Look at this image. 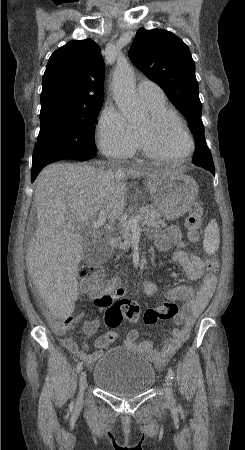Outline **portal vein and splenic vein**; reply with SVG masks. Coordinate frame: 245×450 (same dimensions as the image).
Listing matches in <instances>:
<instances>
[{
    "label": "portal vein and splenic vein",
    "instance_id": "portal-vein-and-splenic-vein-1",
    "mask_svg": "<svg viewBox=\"0 0 245 450\" xmlns=\"http://www.w3.org/2000/svg\"><path fill=\"white\" fill-rule=\"evenodd\" d=\"M105 218H106L105 212H104V211H101V212L99 213V218H98V220L95 221V222L93 223V228H99V227L103 224V222L105 221ZM141 220H142V217H141V216H138V217H136V218L129 219L128 221H126V222L124 223V225L127 226V227H129L131 230L138 231V230H140V228H139V226H138V222L141 221ZM68 227H69L71 230H74V229H75V225H73V224H69Z\"/></svg>",
    "mask_w": 245,
    "mask_h": 450
}]
</instances>
